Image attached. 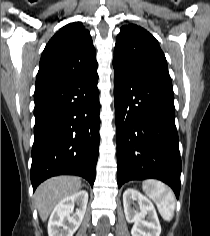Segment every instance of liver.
Listing matches in <instances>:
<instances>
[{"label":"liver","mask_w":210,"mask_h":236,"mask_svg":"<svg viewBox=\"0 0 210 236\" xmlns=\"http://www.w3.org/2000/svg\"><path fill=\"white\" fill-rule=\"evenodd\" d=\"M80 188V178L71 176L53 177L39 185L35 200L41 220L45 222L61 200L75 194Z\"/></svg>","instance_id":"6515ba94"}]
</instances>
